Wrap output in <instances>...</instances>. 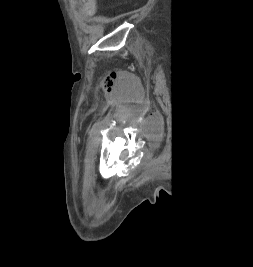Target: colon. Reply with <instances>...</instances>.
<instances>
[{
  "mask_svg": "<svg viewBox=\"0 0 253 267\" xmlns=\"http://www.w3.org/2000/svg\"><path fill=\"white\" fill-rule=\"evenodd\" d=\"M84 7L86 14L92 15L95 13L96 1L95 0H79Z\"/></svg>",
  "mask_w": 253,
  "mask_h": 267,
  "instance_id": "obj_1",
  "label": "colon"
}]
</instances>
